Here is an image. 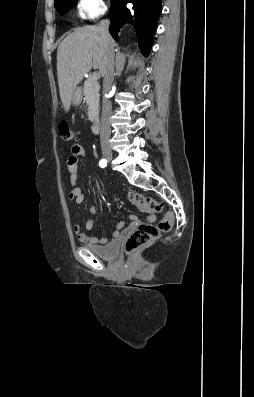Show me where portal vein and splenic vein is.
Here are the masks:
<instances>
[{"mask_svg":"<svg viewBox=\"0 0 254 397\" xmlns=\"http://www.w3.org/2000/svg\"><path fill=\"white\" fill-rule=\"evenodd\" d=\"M98 78H99V73H97V72L93 73L92 79L97 80Z\"/></svg>","mask_w":254,"mask_h":397,"instance_id":"obj_1","label":"portal vein and splenic vein"}]
</instances>
